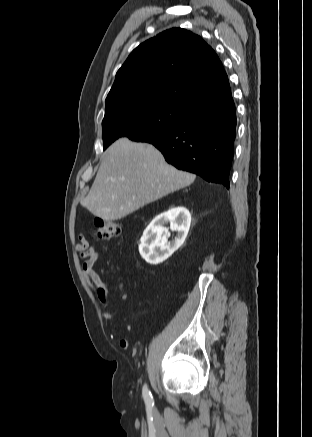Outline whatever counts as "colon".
Returning <instances> with one entry per match:
<instances>
[{
  "instance_id": "1",
  "label": "colon",
  "mask_w": 312,
  "mask_h": 437,
  "mask_svg": "<svg viewBox=\"0 0 312 437\" xmlns=\"http://www.w3.org/2000/svg\"><path fill=\"white\" fill-rule=\"evenodd\" d=\"M121 233V226L118 222L97 218L95 221L94 235L98 239H112L119 236Z\"/></svg>"
}]
</instances>
